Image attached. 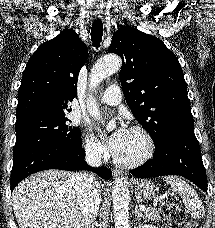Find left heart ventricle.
I'll use <instances>...</instances> for the list:
<instances>
[{"instance_id": "b2bd125f", "label": "left heart ventricle", "mask_w": 215, "mask_h": 228, "mask_svg": "<svg viewBox=\"0 0 215 228\" xmlns=\"http://www.w3.org/2000/svg\"><path fill=\"white\" fill-rule=\"evenodd\" d=\"M144 147L145 145L142 135L130 130V135L126 147L116 157L122 160L134 159L143 152Z\"/></svg>"}]
</instances>
